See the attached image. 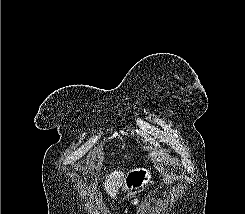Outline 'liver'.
I'll return each mask as SVG.
<instances>
[{
    "instance_id": "liver-1",
    "label": "liver",
    "mask_w": 245,
    "mask_h": 214,
    "mask_svg": "<svg viewBox=\"0 0 245 214\" xmlns=\"http://www.w3.org/2000/svg\"><path fill=\"white\" fill-rule=\"evenodd\" d=\"M125 179V174L122 171H113L109 174L108 178L104 182L106 193L114 198L118 189L122 186Z\"/></svg>"
}]
</instances>
